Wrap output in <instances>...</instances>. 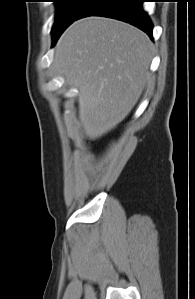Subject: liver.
Segmentation results:
<instances>
[{"mask_svg":"<svg viewBox=\"0 0 195 299\" xmlns=\"http://www.w3.org/2000/svg\"><path fill=\"white\" fill-rule=\"evenodd\" d=\"M152 50L144 32L104 17L75 21L61 35L52 66L78 89L86 138H100L129 114L150 78Z\"/></svg>","mask_w":195,"mask_h":299,"instance_id":"6515ba94","label":"liver"}]
</instances>
